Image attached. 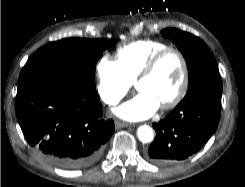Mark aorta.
Returning a JSON list of instances; mask_svg holds the SVG:
<instances>
[{"label": "aorta", "instance_id": "aorta-1", "mask_svg": "<svg viewBox=\"0 0 245 187\" xmlns=\"http://www.w3.org/2000/svg\"><path fill=\"white\" fill-rule=\"evenodd\" d=\"M138 138L143 143H148L153 140V130L151 127L143 125L137 130Z\"/></svg>", "mask_w": 245, "mask_h": 187}]
</instances>
